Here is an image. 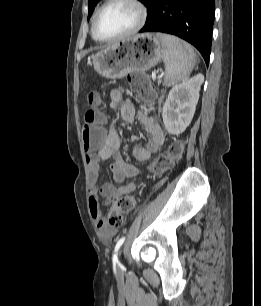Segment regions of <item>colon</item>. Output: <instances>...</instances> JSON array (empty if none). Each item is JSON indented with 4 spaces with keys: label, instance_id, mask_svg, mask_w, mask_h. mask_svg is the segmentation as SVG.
<instances>
[{
    "label": "colon",
    "instance_id": "5ec220e1",
    "mask_svg": "<svg viewBox=\"0 0 261 306\" xmlns=\"http://www.w3.org/2000/svg\"><path fill=\"white\" fill-rule=\"evenodd\" d=\"M132 88L139 93L143 100H150L153 97V91L144 74L137 73L130 77ZM87 102L90 106L85 113V123L82 127V138L84 148L87 151H93L100 147L104 138V128L100 123V115L92 108L97 102V94L90 92L87 95ZM182 144L179 141H173L165 154L158 156L150 166L154 176L159 175L168 169L174 160L181 153ZM137 198L132 195L121 197L109 212L108 223L113 227H119L123 224L125 216L134 208Z\"/></svg>",
    "mask_w": 261,
    "mask_h": 306
}]
</instances>
